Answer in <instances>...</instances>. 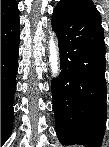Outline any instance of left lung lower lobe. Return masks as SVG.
Masks as SVG:
<instances>
[{"label":"left lung lower lobe","mask_w":109,"mask_h":147,"mask_svg":"<svg viewBox=\"0 0 109 147\" xmlns=\"http://www.w3.org/2000/svg\"><path fill=\"white\" fill-rule=\"evenodd\" d=\"M52 27L62 69L51 86L58 139L64 145L100 147L107 116L103 28L66 4L56 6ZM71 73L79 78L75 88L67 82Z\"/></svg>","instance_id":"left-lung-lower-lobe-1"}]
</instances>
